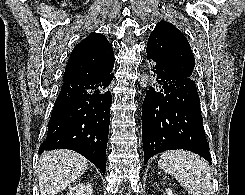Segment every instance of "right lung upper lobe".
I'll use <instances>...</instances> for the list:
<instances>
[{"instance_id": "cb5924a9", "label": "right lung upper lobe", "mask_w": 245, "mask_h": 195, "mask_svg": "<svg viewBox=\"0 0 245 195\" xmlns=\"http://www.w3.org/2000/svg\"><path fill=\"white\" fill-rule=\"evenodd\" d=\"M114 66V53L107 38L92 33L73 49L63 81L91 77L96 71H107Z\"/></svg>"}]
</instances>
